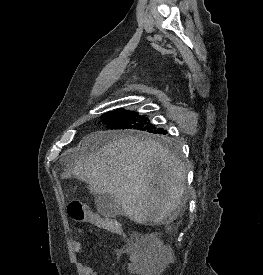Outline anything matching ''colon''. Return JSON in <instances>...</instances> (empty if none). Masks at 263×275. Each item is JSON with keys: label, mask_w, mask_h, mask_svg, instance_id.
<instances>
[{"label": "colon", "mask_w": 263, "mask_h": 275, "mask_svg": "<svg viewBox=\"0 0 263 275\" xmlns=\"http://www.w3.org/2000/svg\"><path fill=\"white\" fill-rule=\"evenodd\" d=\"M68 214L76 222H102L99 216L89 211L86 206L80 202L70 203L68 206ZM105 227L108 232L125 236L122 225L117 221H106ZM146 259L147 275H155L159 267L164 263V250L158 247L152 248Z\"/></svg>", "instance_id": "obj_1"}]
</instances>
